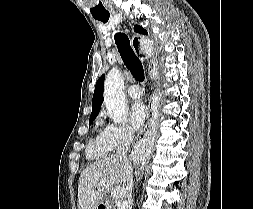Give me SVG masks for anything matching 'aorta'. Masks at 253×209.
Returning a JSON list of instances; mask_svg holds the SVG:
<instances>
[{
    "mask_svg": "<svg viewBox=\"0 0 253 209\" xmlns=\"http://www.w3.org/2000/svg\"><path fill=\"white\" fill-rule=\"evenodd\" d=\"M104 102L109 117L115 124L123 122L128 114V106L124 93V80L117 68H112L104 82ZM149 151V147H146Z\"/></svg>",
    "mask_w": 253,
    "mask_h": 209,
    "instance_id": "762f6f07",
    "label": "aorta"
}]
</instances>
